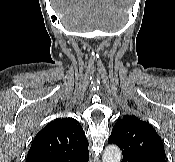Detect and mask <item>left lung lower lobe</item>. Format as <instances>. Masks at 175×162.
I'll list each match as a JSON object with an SVG mask.
<instances>
[{
    "label": "left lung lower lobe",
    "mask_w": 175,
    "mask_h": 162,
    "mask_svg": "<svg viewBox=\"0 0 175 162\" xmlns=\"http://www.w3.org/2000/svg\"><path fill=\"white\" fill-rule=\"evenodd\" d=\"M141 162H164L163 160H158V159H148V160H143Z\"/></svg>",
    "instance_id": "left-lung-lower-lobe-1"
}]
</instances>
